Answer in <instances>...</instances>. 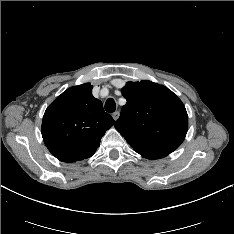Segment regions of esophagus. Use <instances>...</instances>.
I'll list each match as a JSON object with an SVG mask.
<instances>
[{
	"label": "esophagus",
	"instance_id": "34e87169",
	"mask_svg": "<svg viewBox=\"0 0 234 234\" xmlns=\"http://www.w3.org/2000/svg\"><path fill=\"white\" fill-rule=\"evenodd\" d=\"M119 115H120L119 111H116L112 114L114 121H116L119 118Z\"/></svg>",
	"mask_w": 234,
	"mask_h": 234
}]
</instances>
